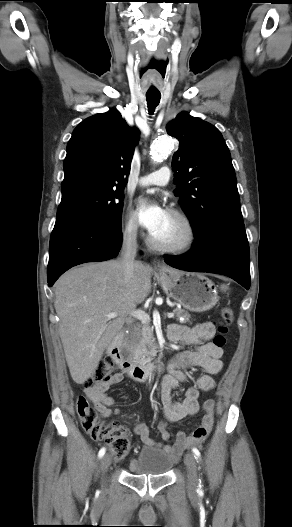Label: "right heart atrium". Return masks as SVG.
<instances>
[{
  "instance_id": "d8ad5b80",
  "label": "right heart atrium",
  "mask_w": 292,
  "mask_h": 527,
  "mask_svg": "<svg viewBox=\"0 0 292 527\" xmlns=\"http://www.w3.org/2000/svg\"><path fill=\"white\" fill-rule=\"evenodd\" d=\"M138 225L135 216L132 213H128L126 216L123 235L127 240H134L137 236Z\"/></svg>"
}]
</instances>
